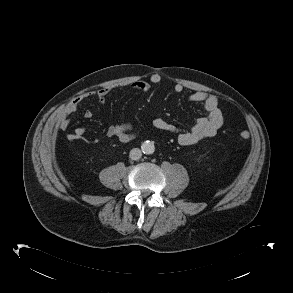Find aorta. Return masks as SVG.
<instances>
[{"label":"aorta","mask_w":293,"mask_h":293,"mask_svg":"<svg viewBox=\"0 0 293 293\" xmlns=\"http://www.w3.org/2000/svg\"><path fill=\"white\" fill-rule=\"evenodd\" d=\"M141 149L144 154H152L155 151V146L152 141H145L142 143Z\"/></svg>","instance_id":"obj_1"}]
</instances>
